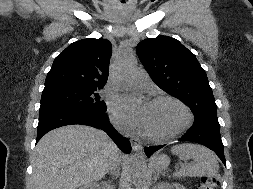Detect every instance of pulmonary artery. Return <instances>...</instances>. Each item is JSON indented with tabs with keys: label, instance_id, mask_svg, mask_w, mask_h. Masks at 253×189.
<instances>
[{
	"label": "pulmonary artery",
	"instance_id": "1",
	"mask_svg": "<svg viewBox=\"0 0 253 189\" xmlns=\"http://www.w3.org/2000/svg\"><path fill=\"white\" fill-rule=\"evenodd\" d=\"M131 83L140 87H146L150 84L148 76L143 72H135L131 77Z\"/></svg>",
	"mask_w": 253,
	"mask_h": 189
}]
</instances>
